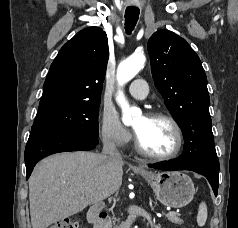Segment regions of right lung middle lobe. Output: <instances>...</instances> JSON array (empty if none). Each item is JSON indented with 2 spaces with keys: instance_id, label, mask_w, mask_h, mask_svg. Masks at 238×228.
<instances>
[{
  "instance_id": "right-lung-middle-lobe-1",
  "label": "right lung middle lobe",
  "mask_w": 238,
  "mask_h": 228,
  "mask_svg": "<svg viewBox=\"0 0 238 228\" xmlns=\"http://www.w3.org/2000/svg\"><path fill=\"white\" fill-rule=\"evenodd\" d=\"M99 105L100 101L82 102L36 116L32 131H75L98 137Z\"/></svg>"
}]
</instances>
